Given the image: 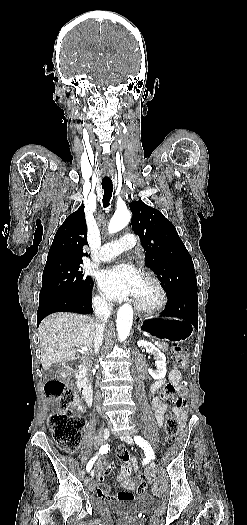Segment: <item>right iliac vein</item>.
I'll list each match as a JSON object with an SVG mask.
<instances>
[{"instance_id": "1", "label": "right iliac vein", "mask_w": 247, "mask_h": 525, "mask_svg": "<svg viewBox=\"0 0 247 525\" xmlns=\"http://www.w3.org/2000/svg\"><path fill=\"white\" fill-rule=\"evenodd\" d=\"M109 436H110V430L108 428H106L104 430V433H103L104 440L108 439ZM90 475H91V477H94V475H95V470L94 469L91 470Z\"/></svg>"}]
</instances>
